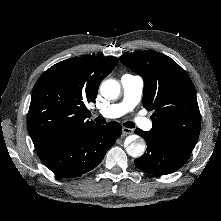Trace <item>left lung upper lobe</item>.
Wrapping results in <instances>:
<instances>
[{
	"label": "left lung upper lobe",
	"mask_w": 221,
	"mask_h": 221,
	"mask_svg": "<svg viewBox=\"0 0 221 221\" xmlns=\"http://www.w3.org/2000/svg\"><path fill=\"white\" fill-rule=\"evenodd\" d=\"M120 61L144 80L143 106L153 111V127L147 134L192 150L201 118L188 74L173 59L155 51L126 54Z\"/></svg>",
	"instance_id": "left-lung-upper-lobe-1"
}]
</instances>
